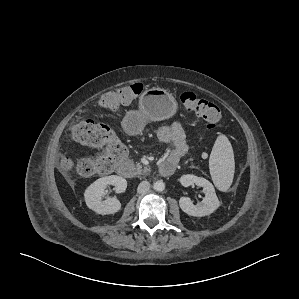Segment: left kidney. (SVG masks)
I'll return each mask as SVG.
<instances>
[{
	"label": "left kidney",
	"instance_id": "1",
	"mask_svg": "<svg viewBox=\"0 0 299 299\" xmlns=\"http://www.w3.org/2000/svg\"><path fill=\"white\" fill-rule=\"evenodd\" d=\"M179 181L184 187L196 184L197 186L202 187L205 192V197L199 205H194L191 199L188 197L180 198V208L186 214L195 217L207 216L217 210L220 206V202L215 193L214 186L207 179L197 177L192 174H187L181 176Z\"/></svg>",
	"mask_w": 299,
	"mask_h": 299
}]
</instances>
